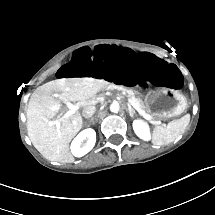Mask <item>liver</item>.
<instances>
[{
	"instance_id": "liver-1",
	"label": "liver",
	"mask_w": 215,
	"mask_h": 215,
	"mask_svg": "<svg viewBox=\"0 0 215 215\" xmlns=\"http://www.w3.org/2000/svg\"><path fill=\"white\" fill-rule=\"evenodd\" d=\"M108 86L109 82L103 79L72 77L56 79L37 87L30 97L26 115L27 134L35 148L49 160L74 162L69 142L82 127V117L76 112L59 127L51 124L61 105L59 100L50 96V92H59L61 99L78 101L81 106H86L95 104L96 93Z\"/></svg>"
}]
</instances>
